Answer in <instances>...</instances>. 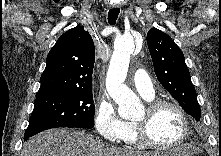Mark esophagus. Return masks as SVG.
Masks as SVG:
<instances>
[{"label":"esophagus","mask_w":221,"mask_h":156,"mask_svg":"<svg viewBox=\"0 0 221 156\" xmlns=\"http://www.w3.org/2000/svg\"><path fill=\"white\" fill-rule=\"evenodd\" d=\"M110 7H112V8H119L120 6L118 4H110Z\"/></svg>","instance_id":"obj_1"}]
</instances>
